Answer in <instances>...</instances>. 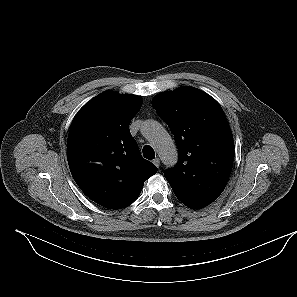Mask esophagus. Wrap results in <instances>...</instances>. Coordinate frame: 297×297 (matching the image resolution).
Instances as JSON below:
<instances>
[{"mask_svg": "<svg viewBox=\"0 0 297 297\" xmlns=\"http://www.w3.org/2000/svg\"><path fill=\"white\" fill-rule=\"evenodd\" d=\"M153 164H154L156 167H159V166H160V160H159V158H155V159L153 160Z\"/></svg>", "mask_w": 297, "mask_h": 297, "instance_id": "esophagus-1", "label": "esophagus"}]
</instances>
